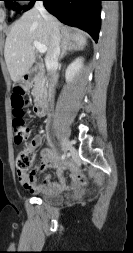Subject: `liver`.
I'll use <instances>...</instances> for the list:
<instances>
[{
	"label": "liver",
	"instance_id": "liver-1",
	"mask_svg": "<svg viewBox=\"0 0 133 253\" xmlns=\"http://www.w3.org/2000/svg\"><path fill=\"white\" fill-rule=\"evenodd\" d=\"M53 19L58 30L61 31L63 39L69 43L70 40L74 41L79 48L86 45V38L81 31L76 30L75 33H70L67 27L63 26L54 17ZM34 41L46 45L47 53L49 52L51 47L50 33L46 21L35 8L25 12L14 23L6 38L4 57L13 82L19 81L23 75L28 73L35 62Z\"/></svg>",
	"mask_w": 133,
	"mask_h": 253
}]
</instances>
